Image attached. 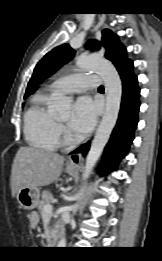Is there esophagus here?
<instances>
[{
  "instance_id": "34e87169",
  "label": "esophagus",
  "mask_w": 162,
  "mask_h": 261,
  "mask_svg": "<svg viewBox=\"0 0 162 261\" xmlns=\"http://www.w3.org/2000/svg\"><path fill=\"white\" fill-rule=\"evenodd\" d=\"M82 164V156L81 154H72L69 156L67 166L69 168L78 169Z\"/></svg>"
}]
</instances>
